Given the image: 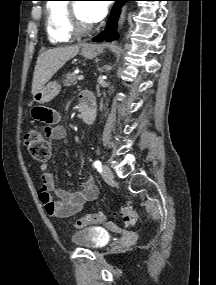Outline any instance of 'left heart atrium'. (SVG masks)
I'll return each mask as SVG.
<instances>
[{
  "mask_svg": "<svg viewBox=\"0 0 216 285\" xmlns=\"http://www.w3.org/2000/svg\"><path fill=\"white\" fill-rule=\"evenodd\" d=\"M107 10V1H89L85 3V14L90 23H96L102 20Z\"/></svg>",
  "mask_w": 216,
  "mask_h": 285,
  "instance_id": "1",
  "label": "left heart atrium"
}]
</instances>
